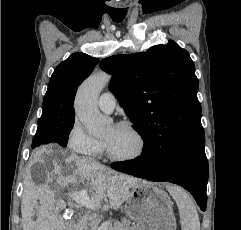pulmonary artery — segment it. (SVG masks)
<instances>
[{
  "instance_id": "e3ab8cb5",
  "label": "pulmonary artery",
  "mask_w": 241,
  "mask_h": 230,
  "mask_svg": "<svg viewBox=\"0 0 241 230\" xmlns=\"http://www.w3.org/2000/svg\"><path fill=\"white\" fill-rule=\"evenodd\" d=\"M99 108L106 113H111L116 106V99L111 92H104L98 99Z\"/></svg>"
}]
</instances>
